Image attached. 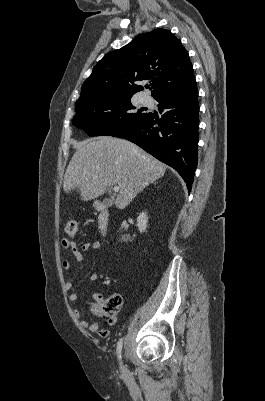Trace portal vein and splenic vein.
<instances>
[{"label": "portal vein and splenic vein", "mask_w": 265, "mask_h": 401, "mask_svg": "<svg viewBox=\"0 0 265 401\" xmlns=\"http://www.w3.org/2000/svg\"><path fill=\"white\" fill-rule=\"evenodd\" d=\"M112 190H114V192H118L119 186H113Z\"/></svg>", "instance_id": "18ae733b"}]
</instances>
